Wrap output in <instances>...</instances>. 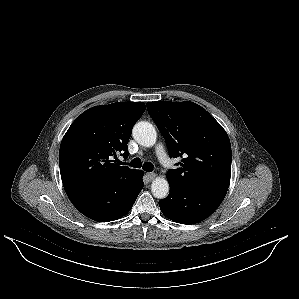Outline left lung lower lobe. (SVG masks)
<instances>
[{"label": "left lung lower lobe", "instance_id": "1", "mask_svg": "<svg viewBox=\"0 0 299 299\" xmlns=\"http://www.w3.org/2000/svg\"><path fill=\"white\" fill-rule=\"evenodd\" d=\"M168 181L170 194L159 201V206L167 218L181 224H194L209 217L227 193V189L214 185Z\"/></svg>", "mask_w": 299, "mask_h": 299}]
</instances>
